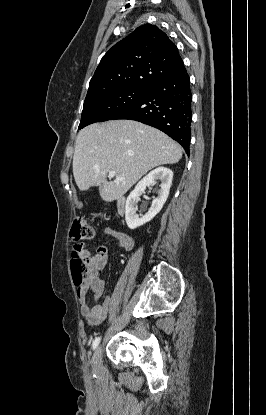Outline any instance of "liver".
Segmentation results:
<instances>
[{"mask_svg": "<svg viewBox=\"0 0 266 415\" xmlns=\"http://www.w3.org/2000/svg\"><path fill=\"white\" fill-rule=\"evenodd\" d=\"M182 148L165 133L132 120L88 125L79 131L73 156V175L81 191L99 187L101 198H121L154 167L174 164ZM115 171L124 180H107Z\"/></svg>", "mask_w": 266, "mask_h": 415, "instance_id": "1", "label": "liver"}]
</instances>
